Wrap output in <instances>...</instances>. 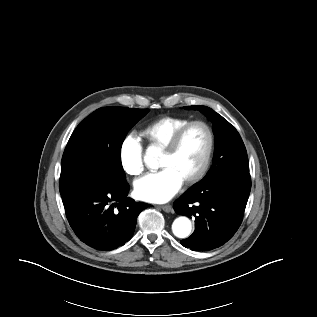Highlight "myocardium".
Returning <instances> with one entry per match:
<instances>
[{
  "mask_svg": "<svg viewBox=\"0 0 317 317\" xmlns=\"http://www.w3.org/2000/svg\"><path fill=\"white\" fill-rule=\"evenodd\" d=\"M202 126L207 134H208V147H207V151L204 157V160L200 166V168L196 171L195 174H193L191 177L187 178L186 180H184V183L187 185H192L195 184L197 182H199L207 173L211 161H212V157H213V153H214V148H215V136H214V132L211 128V126L203 120H193V121H189L187 124H185L183 127H181L171 138V140L169 141V143L167 144V146L163 149V153L166 155H174L177 150L180 147V144L183 140V137L185 136L186 132L193 126Z\"/></svg>",
  "mask_w": 317,
  "mask_h": 317,
  "instance_id": "1",
  "label": "myocardium"
}]
</instances>
